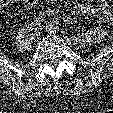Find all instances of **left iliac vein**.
I'll use <instances>...</instances> for the list:
<instances>
[{
    "mask_svg": "<svg viewBox=\"0 0 113 113\" xmlns=\"http://www.w3.org/2000/svg\"><path fill=\"white\" fill-rule=\"evenodd\" d=\"M56 27H58V22L57 21H55L54 22V24H52V23H48L47 25H46V31L48 32V33H50V34H55L56 32H57V30H58V28L56 29ZM76 42L77 41H74V44H76Z\"/></svg>",
    "mask_w": 113,
    "mask_h": 113,
    "instance_id": "left-iliac-vein-1",
    "label": "left iliac vein"
}]
</instances>
